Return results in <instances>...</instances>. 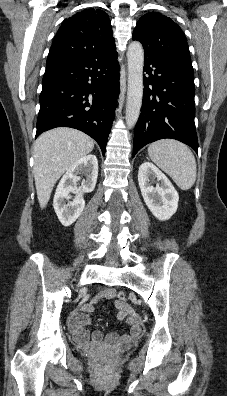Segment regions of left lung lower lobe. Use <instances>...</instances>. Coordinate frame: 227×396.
<instances>
[{
  "label": "left lung lower lobe",
  "mask_w": 227,
  "mask_h": 396,
  "mask_svg": "<svg viewBox=\"0 0 227 396\" xmlns=\"http://www.w3.org/2000/svg\"><path fill=\"white\" fill-rule=\"evenodd\" d=\"M144 97L134 132L133 157L159 139L179 140L196 152L194 72L191 62L144 52Z\"/></svg>",
  "instance_id": "1"
}]
</instances>
